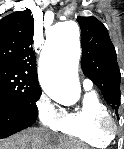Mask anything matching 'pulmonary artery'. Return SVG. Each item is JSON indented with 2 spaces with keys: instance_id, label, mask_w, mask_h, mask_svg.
I'll return each mask as SVG.
<instances>
[{
  "instance_id": "pulmonary-artery-1",
  "label": "pulmonary artery",
  "mask_w": 124,
  "mask_h": 149,
  "mask_svg": "<svg viewBox=\"0 0 124 149\" xmlns=\"http://www.w3.org/2000/svg\"><path fill=\"white\" fill-rule=\"evenodd\" d=\"M83 86H84V88H85L86 90H90V89L92 88L93 84H92L91 81L85 80V81L83 82Z\"/></svg>"
}]
</instances>
